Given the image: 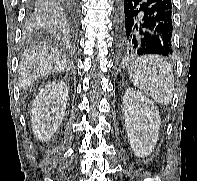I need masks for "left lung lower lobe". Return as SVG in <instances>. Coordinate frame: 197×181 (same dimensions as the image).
I'll list each match as a JSON object with an SVG mask.
<instances>
[{
	"instance_id": "left-lung-lower-lobe-1",
	"label": "left lung lower lobe",
	"mask_w": 197,
	"mask_h": 181,
	"mask_svg": "<svg viewBox=\"0 0 197 181\" xmlns=\"http://www.w3.org/2000/svg\"><path fill=\"white\" fill-rule=\"evenodd\" d=\"M171 0H121L116 51L120 58L158 54L172 48Z\"/></svg>"
}]
</instances>
